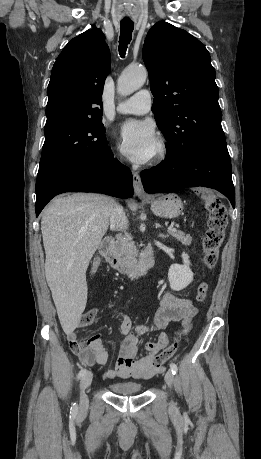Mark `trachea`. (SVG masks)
Segmentation results:
<instances>
[{
    "label": "trachea",
    "mask_w": 261,
    "mask_h": 459,
    "mask_svg": "<svg viewBox=\"0 0 261 459\" xmlns=\"http://www.w3.org/2000/svg\"><path fill=\"white\" fill-rule=\"evenodd\" d=\"M121 31L119 37V54L124 57L126 54L127 46L132 39V31L134 28V22L131 20H122L120 22Z\"/></svg>",
    "instance_id": "trachea-1"
}]
</instances>
